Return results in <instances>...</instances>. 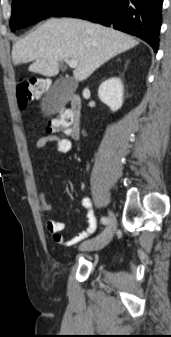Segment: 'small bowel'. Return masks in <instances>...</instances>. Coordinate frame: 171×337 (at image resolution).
Wrapping results in <instances>:
<instances>
[{
	"label": "small bowel",
	"instance_id": "c3829d8e",
	"mask_svg": "<svg viewBox=\"0 0 171 337\" xmlns=\"http://www.w3.org/2000/svg\"><path fill=\"white\" fill-rule=\"evenodd\" d=\"M48 144L54 146V148L63 153H69L73 149V144L70 139L57 134H48L40 137L36 142L35 148L38 152H41ZM39 200L42 209L45 211H50L51 206L47 202L45 192L41 191L39 193ZM81 204L84 208L87 209L88 226L86 230L76 234L71 238H66L63 235V231L65 229V224L63 222L54 220L52 218L46 219V228L56 243L64 246H72L86 239L96 231L97 221L91 201L88 198H83L81 200Z\"/></svg>",
	"mask_w": 171,
	"mask_h": 337
}]
</instances>
